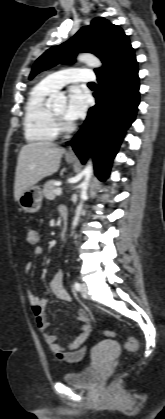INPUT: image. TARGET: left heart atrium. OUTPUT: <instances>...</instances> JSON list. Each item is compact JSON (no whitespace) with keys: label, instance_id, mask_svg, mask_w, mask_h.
I'll use <instances>...</instances> for the list:
<instances>
[{"label":"left heart atrium","instance_id":"39dd6f15","mask_svg":"<svg viewBox=\"0 0 165 419\" xmlns=\"http://www.w3.org/2000/svg\"><path fill=\"white\" fill-rule=\"evenodd\" d=\"M87 108V96L78 87L71 89L68 95L67 107L64 117L68 121H76L82 118Z\"/></svg>","mask_w":165,"mask_h":419}]
</instances>
